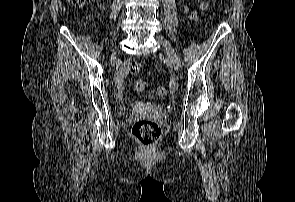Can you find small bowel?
I'll list each match as a JSON object with an SVG mask.
<instances>
[{"instance_id":"small-bowel-1","label":"small bowel","mask_w":295,"mask_h":202,"mask_svg":"<svg viewBox=\"0 0 295 202\" xmlns=\"http://www.w3.org/2000/svg\"><path fill=\"white\" fill-rule=\"evenodd\" d=\"M209 6V1L206 0L200 4V10H205ZM128 73V63H125L118 74V80L116 86H125L124 79ZM132 107H152V102H132Z\"/></svg>"}]
</instances>
